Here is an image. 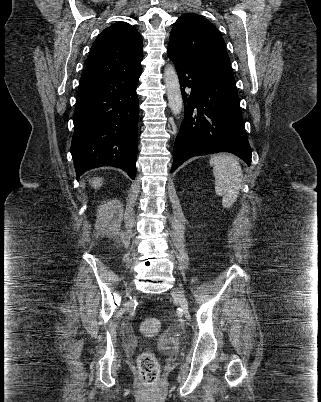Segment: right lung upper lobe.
Segmentation results:
<instances>
[{
	"mask_svg": "<svg viewBox=\"0 0 321 402\" xmlns=\"http://www.w3.org/2000/svg\"><path fill=\"white\" fill-rule=\"evenodd\" d=\"M142 37L135 27L118 22L103 30L93 43L84 76L141 70Z\"/></svg>",
	"mask_w": 321,
	"mask_h": 402,
	"instance_id": "right-lung-upper-lobe-1",
	"label": "right lung upper lobe"
}]
</instances>
